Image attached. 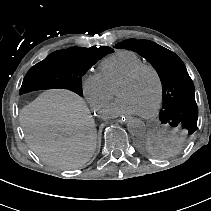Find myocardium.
<instances>
[{"instance_id": "1", "label": "myocardium", "mask_w": 211, "mask_h": 211, "mask_svg": "<svg viewBox=\"0 0 211 211\" xmlns=\"http://www.w3.org/2000/svg\"><path fill=\"white\" fill-rule=\"evenodd\" d=\"M142 70L151 71L156 79V82H157V98H156V101H155L153 107L149 111L139 113L142 117H152L160 109L162 101H163V96H164L163 80H162V77H161L159 71L157 70V68L155 66H153L152 64H148V63L139 64L138 66L131 69L128 73H126L122 78H120L118 80L117 84L131 81Z\"/></svg>"}]
</instances>
